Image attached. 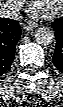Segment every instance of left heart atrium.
I'll use <instances>...</instances> for the list:
<instances>
[{
	"label": "left heart atrium",
	"mask_w": 63,
	"mask_h": 107,
	"mask_svg": "<svg viewBox=\"0 0 63 107\" xmlns=\"http://www.w3.org/2000/svg\"><path fill=\"white\" fill-rule=\"evenodd\" d=\"M34 13H35L36 15H39V14L41 13V10H37V9H36V10L34 11Z\"/></svg>",
	"instance_id": "left-heart-atrium-1"
}]
</instances>
